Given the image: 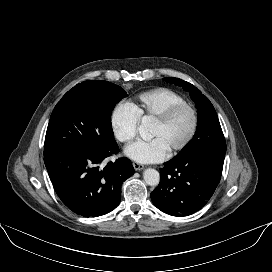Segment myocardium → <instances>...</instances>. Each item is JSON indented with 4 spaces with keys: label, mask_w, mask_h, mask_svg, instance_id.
Wrapping results in <instances>:
<instances>
[{
    "label": "myocardium",
    "mask_w": 272,
    "mask_h": 272,
    "mask_svg": "<svg viewBox=\"0 0 272 272\" xmlns=\"http://www.w3.org/2000/svg\"><path fill=\"white\" fill-rule=\"evenodd\" d=\"M184 110L188 111L191 115V119H192L191 128L188 135L185 137V139L181 143L173 147L171 150H169L170 155H174L182 151L194 139L198 130V125H199V117H198L197 110L192 105L185 102V103L175 104L169 107L160 115L154 118V122L156 123L167 124L169 121L172 120L174 116H176L179 112Z\"/></svg>",
    "instance_id": "obj_1"
}]
</instances>
